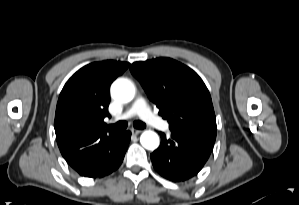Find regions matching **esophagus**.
<instances>
[{
    "label": "esophagus",
    "mask_w": 299,
    "mask_h": 205,
    "mask_svg": "<svg viewBox=\"0 0 299 205\" xmlns=\"http://www.w3.org/2000/svg\"><path fill=\"white\" fill-rule=\"evenodd\" d=\"M131 132H132V134H134V135H138V134H140L142 131H141V130H138V129H134V128H132V129H131Z\"/></svg>",
    "instance_id": "34e87169"
}]
</instances>
